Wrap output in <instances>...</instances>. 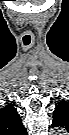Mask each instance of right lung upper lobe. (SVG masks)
Here are the masks:
<instances>
[{"mask_svg":"<svg viewBox=\"0 0 69 135\" xmlns=\"http://www.w3.org/2000/svg\"><path fill=\"white\" fill-rule=\"evenodd\" d=\"M1 134L2 135H26V129L22 124L20 115L16 109L8 105L1 111Z\"/></svg>","mask_w":69,"mask_h":135,"instance_id":"cb5924a9","label":"right lung upper lobe"}]
</instances>
